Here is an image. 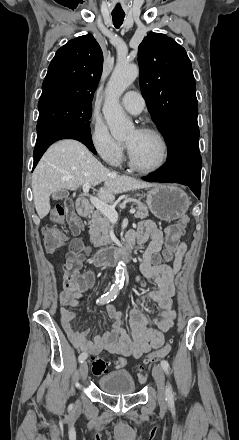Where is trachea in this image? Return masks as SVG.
I'll use <instances>...</instances> for the list:
<instances>
[{"mask_svg": "<svg viewBox=\"0 0 239 440\" xmlns=\"http://www.w3.org/2000/svg\"><path fill=\"white\" fill-rule=\"evenodd\" d=\"M124 17H125V13H118V12L112 13L113 24L116 28H119L122 25L124 21Z\"/></svg>", "mask_w": 239, "mask_h": 440, "instance_id": "trachea-1", "label": "trachea"}]
</instances>
